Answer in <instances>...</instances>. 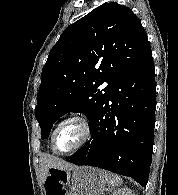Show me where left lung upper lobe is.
Returning <instances> with one entry per match:
<instances>
[{"instance_id": "1", "label": "left lung upper lobe", "mask_w": 178, "mask_h": 195, "mask_svg": "<svg viewBox=\"0 0 178 195\" xmlns=\"http://www.w3.org/2000/svg\"><path fill=\"white\" fill-rule=\"evenodd\" d=\"M150 51L140 20L116 2L100 5L65 29L41 74L35 114L42 139L70 110L82 112L91 124L116 80ZM104 82L108 86L97 89Z\"/></svg>"}]
</instances>
